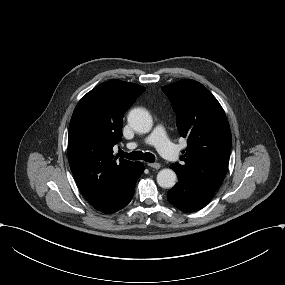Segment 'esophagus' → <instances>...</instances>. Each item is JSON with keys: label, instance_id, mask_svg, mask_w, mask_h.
Returning <instances> with one entry per match:
<instances>
[{"label": "esophagus", "instance_id": "esophagus-1", "mask_svg": "<svg viewBox=\"0 0 285 285\" xmlns=\"http://www.w3.org/2000/svg\"><path fill=\"white\" fill-rule=\"evenodd\" d=\"M148 166L154 169H159L161 167L159 163H148Z\"/></svg>", "mask_w": 285, "mask_h": 285}]
</instances>
